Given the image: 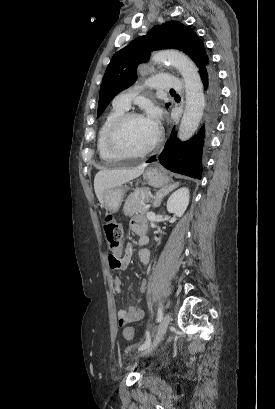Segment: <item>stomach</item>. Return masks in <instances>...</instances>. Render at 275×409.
I'll return each mask as SVG.
<instances>
[{
  "instance_id": "obj_1",
  "label": "stomach",
  "mask_w": 275,
  "mask_h": 409,
  "mask_svg": "<svg viewBox=\"0 0 275 409\" xmlns=\"http://www.w3.org/2000/svg\"><path fill=\"white\" fill-rule=\"evenodd\" d=\"M144 178H146L148 184L151 186H166L170 182L169 176L162 172L160 168H155V166H148L143 172ZM128 186H114V188H108L103 194V205L107 211L110 213H117L118 209L121 207V202L123 196L127 190Z\"/></svg>"
}]
</instances>
